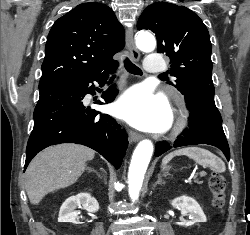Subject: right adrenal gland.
<instances>
[{
    "label": "right adrenal gland",
    "mask_w": 250,
    "mask_h": 235,
    "mask_svg": "<svg viewBox=\"0 0 250 235\" xmlns=\"http://www.w3.org/2000/svg\"><path fill=\"white\" fill-rule=\"evenodd\" d=\"M88 172H94V173H96L97 176H99L100 178H102V176L100 175V173L98 171H96L95 169H93V168H88Z\"/></svg>",
    "instance_id": "right-adrenal-gland-1"
}]
</instances>
